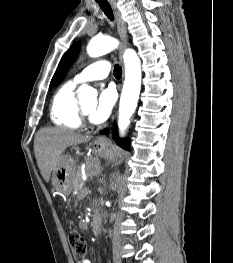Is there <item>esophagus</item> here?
I'll use <instances>...</instances> for the list:
<instances>
[{
  "label": "esophagus",
  "mask_w": 233,
  "mask_h": 263,
  "mask_svg": "<svg viewBox=\"0 0 233 263\" xmlns=\"http://www.w3.org/2000/svg\"><path fill=\"white\" fill-rule=\"evenodd\" d=\"M110 4L112 6V9L114 11V14L116 16V21H117V28H118V33L120 36L121 40V47H120V59L122 61V56H123V51L127 46V30H126V24L122 18L121 12L114 0H109ZM123 72H124V64H122ZM96 144L100 146L101 148L105 147L108 144V138L106 136H100L96 140Z\"/></svg>",
  "instance_id": "esophagus-1"
}]
</instances>
